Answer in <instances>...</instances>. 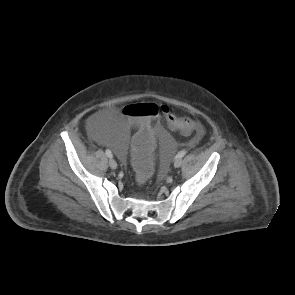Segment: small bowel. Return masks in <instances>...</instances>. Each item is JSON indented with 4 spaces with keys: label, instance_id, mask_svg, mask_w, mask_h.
<instances>
[{
    "label": "small bowel",
    "instance_id": "small-bowel-1",
    "mask_svg": "<svg viewBox=\"0 0 295 295\" xmlns=\"http://www.w3.org/2000/svg\"><path fill=\"white\" fill-rule=\"evenodd\" d=\"M151 103H153V102H151ZM153 104H155V103H153ZM155 105H157V104H155ZM117 114L118 113H116V116H117ZM196 123H197V127H198L197 132H196V137H197V139H199L203 134V129H202V126L198 122H196ZM151 127L154 128V126H151ZM127 128L134 129V127H127Z\"/></svg>",
    "mask_w": 295,
    "mask_h": 295
}]
</instances>
